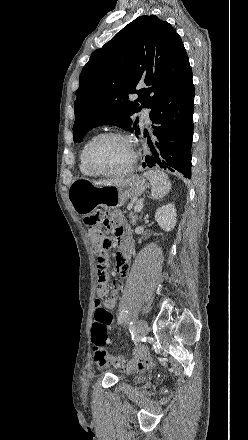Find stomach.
Returning <instances> with one entry per match:
<instances>
[{
    "mask_svg": "<svg viewBox=\"0 0 248 440\" xmlns=\"http://www.w3.org/2000/svg\"><path fill=\"white\" fill-rule=\"evenodd\" d=\"M147 187L145 179L138 175L111 185H96L92 181L78 179L71 183L68 199L76 212L87 214L98 206L118 208L127 199L140 196Z\"/></svg>",
    "mask_w": 248,
    "mask_h": 440,
    "instance_id": "1",
    "label": "stomach"
}]
</instances>
